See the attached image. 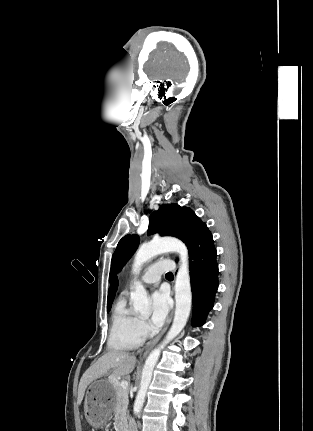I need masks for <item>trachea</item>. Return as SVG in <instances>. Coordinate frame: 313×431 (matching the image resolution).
I'll return each instance as SVG.
<instances>
[{
	"mask_svg": "<svg viewBox=\"0 0 313 431\" xmlns=\"http://www.w3.org/2000/svg\"><path fill=\"white\" fill-rule=\"evenodd\" d=\"M170 277H173V274L171 272L166 274V278H170Z\"/></svg>",
	"mask_w": 313,
	"mask_h": 431,
	"instance_id": "3493384b",
	"label": "trachea"
}]
</instances>
